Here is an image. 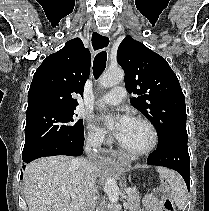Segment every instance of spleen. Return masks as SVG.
Wrapping results in <instances>:
<instances>
[{
	"mask_svg": "<svg viewBox=\"0 0 209 211\" xmlns=\"http://www.w3.org/2000/svg\"><path fill=\"white\" fill-rule=\"evenodd\" d=\"M157 171L159 172L160 176L165 178L169 183L171 187V194L174 202L176 203V206L179 209L184 208L186 203L187 190L186 185L180 175L172 170L162 167L157 168Z\"/></svg>",
	"mask_w": 209,
	"mask_h": 211,
	"instance_id": "spleen-1",
	"label": "spleen"
}]
</instances>
